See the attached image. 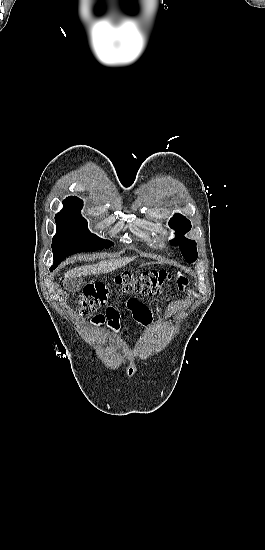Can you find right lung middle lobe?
Returning a JSON list of instances; mask_svg holds the SVG:
<instances>
[{
  "instance_id": "1",
  "label": "right lung middle lobe",
  "mask_w": 265,
  "mask_h": 550,
  "mask_svg": "<svg viewBox=\"0 0 265 550\" xmlns=\"http://www.w3.org/2000/svg\"><path fill=\"white\" fill-rule=\"evenodd\" d=\"M82 206V201L64 204L65 208L55 216L57 233L52 239V267H57L65 257L75 253L101 250L113 245L89 232L87 221L80 215Z\"/></svg>"
}]
</instances>
